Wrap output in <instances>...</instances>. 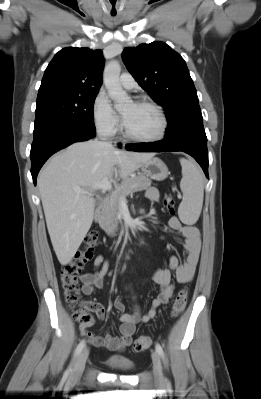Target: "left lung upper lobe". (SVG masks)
Here are the masks:
<instances>
[{"instance_id": "left-lung-upper-lobe-1", "label": "left lung upper lobe", "mask_w": 261, "mask_h": 399, "mask_svg": "<svg viewBox=\"0 0 261 399\" xmlns=\"http://www.w3.org/2000/svg\"><path fill=\"white\" fill-rule=\"evenodd\" d=\"M123 61L138 84L164 109L165 138L203 126L199 100L184 59L163 42L127 47Z\"/></svg>"}]
</instances>
